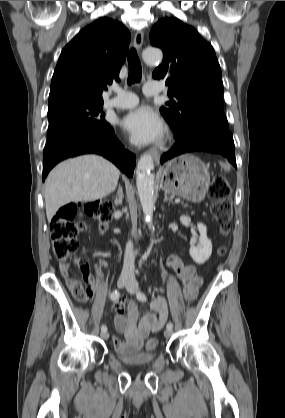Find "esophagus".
<instances>
[{
  "mask_svg": "<svg viewBox=\"0 0 285 418\" xmlns=\"http://www.w3.org/2000/svg\"><path fill=\"white\" fill-rule=\"evenodd\" d=\"M143 37H144V34H143L142 30L136 31L135 36H134V46L137 50H140V48L143 44ZM152 155H153L154 161L156 163L159 162L160 152L156 149H153L152 150Z\"/></svg>",
  "mask_w": 285,
  "mask_h": 418,
  "instance_id": "esophagus-1",
  "label": "esophagus"
}]
</instances>
